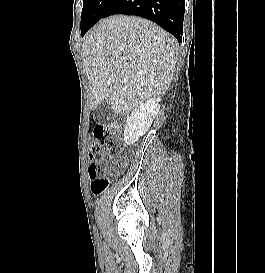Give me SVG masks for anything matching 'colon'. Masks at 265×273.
<instances>
[{"label": "colon", "mask_w": 265, "mask_h": 273, "mask_svg": "<svg viewBox=\"0 0 265 273\" xmlns=\"http://www.w3.org/2000/svg\"><path fill=\"white\" fill-rule=\"evenodd\" d=\"M120 126L115 122L97 125L94 129V139L90 158L93 162L88 167L90 177L94 178L99 166L96 161L102 158L104 155H118L121 152L119 144ZM127 163L126 158H121L117 166H125ZM109 181L107 179H93L91 183V190L95 195L101 194L107 187Z\"/></svg>", "instance_id": "obj_1"}]
</instances>
